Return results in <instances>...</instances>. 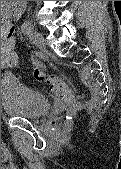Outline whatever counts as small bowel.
Returning a JSON list of instances; mask_svg holds the SVG:
<instances>
[{"label":"small bowel","mask_w":121,"mask_h":169,"mask_svg":"<svg viewBox=\"0 0 121 169\" xmlns=\"http://www.w3.org/2000/svg\"><path fill=\"white\" fill-rule=\"evenodd\" d=\"M23 8V1H9V3H7V5L3 8L1 16V44H3L5 41L15 44L12 22L21 16Z\"/></svg>","instance_id":"small-bowel-1"}]
</instances>
